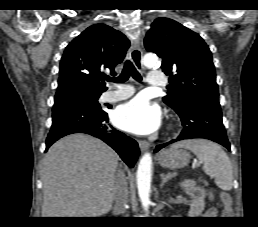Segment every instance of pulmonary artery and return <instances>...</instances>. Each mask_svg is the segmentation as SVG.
<instances>
[{
	"label": "pulmonary artery",
	"instance_id": "obj_1",
	"mask_svg": "<svg viewBox=\"0 0 258 227\" xmlns=\"http://www.w3.org/2000/svg\"><path fill=\"white\" fill-rule=\"evenodd\" d=\"M166 82L162 72L152 70L148 75V84L151 86H162ZM134 89L130 86H119L117 90L104 92L101 96L102 102H118L130 97Z\"/></svg>",
	"mask_w": 258,
	"mask_h": 227
}]
</instances>
